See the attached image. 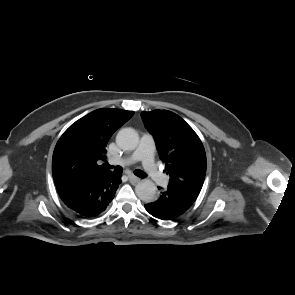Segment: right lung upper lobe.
Returning a JSON list of instances; mask_svg holds the SVG:
<instances>
[{"mask_svg":"<svg viewBox=\"0 0 295 295\" xmlns=\"http://www.w3.org/2000/svg\"><path fill=\"white\" fill-rule=\"evenodd\" d=\"M133 111L101 108L73 123L58 140L52 158L57 187L92 182L112 173L104 165L112 134L126 123Z\"/></svg>","mask_w":295,"mask_h":295,"instance_id":"right-lung-upper-lobe-1","label":"right lung upper lobe"}]
</instances>
